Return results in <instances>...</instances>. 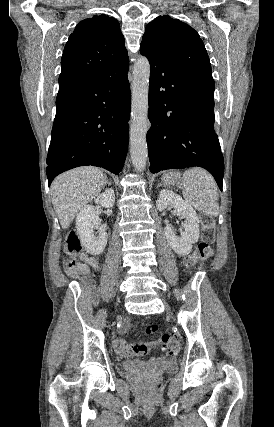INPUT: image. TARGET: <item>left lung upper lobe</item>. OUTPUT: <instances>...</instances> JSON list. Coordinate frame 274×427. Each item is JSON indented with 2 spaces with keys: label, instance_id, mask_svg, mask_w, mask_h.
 Returning <instances> with one entry per match:
<instances>
[{
  "label": "left lung upper lobe",
  "instance_id": "obj_1",
  "mask_svg": "<svg viewBox=\"0 0 274 427\" xmlns=\"http://www.w3.org/2000/svg\"><path fill=\"white\" fill-rule=\"evenodd\" d=\"M141 48L185 74L214 82L211 64L199 34L169 16H159L145 28Z\"/></svg>",
  "mask_w": 274,
  "mask_h": 427
}]
</instances>
